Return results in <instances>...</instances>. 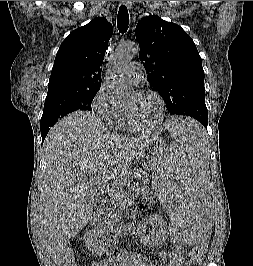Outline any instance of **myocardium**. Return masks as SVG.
Here are the masks:
<instances>
[{"label":"myocardium","mask_w":253,"mask_h":266,"mask_svg":"<svg viewBox=\"0 0 253 266\" xmlns=\"http://www.w3.org/2000/svg\"><path fill=\"white\" fill-rule=\"evenodd\" d=\"M136 94L139 95H144V94H148V95H152L154 96L160 106V114L159 117L157 119V121L149 126H140L139 124L136 123V121L134 120L132 114L125 109V115H126V119H127V123L130 129L134 130V131H138V132H147V131H153L156 130L157 128H159L165 119V114H166V105H165V101L163 99V97L155 90L152 89H141V90H137L135 91Z\"/></svg>","instance_id":"obj_1"}]
</instances>
